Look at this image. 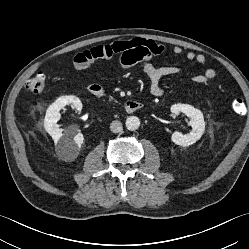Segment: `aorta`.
I'll use <instances>...</instances> for the list:
<instances>
[{"label": "aorta", "instance_id": "1", "mask_svg": "<svg viewBox=\"0 0 249 249\" xmlns=\"http://www.w3.org/2000/svg\"><path fill=\"white\" fill-rule=\"evenodd\" d=\"M126 128L130 131H135L139 128L140 126V120L138 117L136 116H129L127 119H126Z\"/></svg>", "mask_w": 249, "mask_h": 249}]
</instances>
